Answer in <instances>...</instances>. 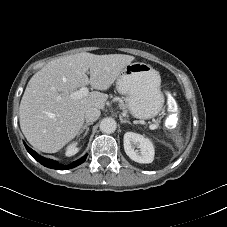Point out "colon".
Wrapping results in <instances>:
<instances>
[{
    "label": "colon",
    "instance_id": "colon-1",
    "mask_svg": "<svg viewBox=\"0 0 227 227\" xmlns=\"http://www.w3.org/2000/svg\"><path fill=\"white\" fill-rule=\"evenodd\" d=\"M166 98L170 101V103L174 104L175 100L170 92L165 93Z\"/></svg>",
    "mask_w": 227,
    "mask_h": 227
}]
</instances>
